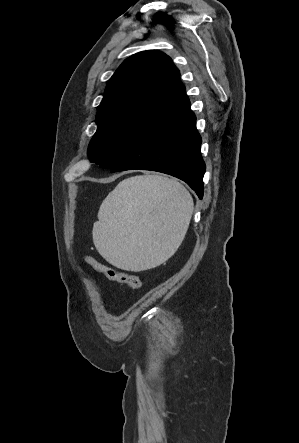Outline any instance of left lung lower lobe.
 Listing matches in <instances>:
<instances>
[{
  "mask_svg": "<svg viewBox=\"0 0 299 443\" xmlns=\"http://www.w3.org/2000/svg\"><path fill=\"white\" fill-rule=\"evenodd\" d=\"M195 123L184 91L111 168V173L131 169L166 173L185 181L202 199L205 163Z\"/></svg>",
  "mask_w": 299,
  "mask_h": 443,
  "instance_id": "1",
  "label": "left lung lower lobe"
}]
</instances>
